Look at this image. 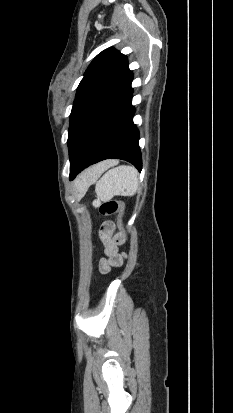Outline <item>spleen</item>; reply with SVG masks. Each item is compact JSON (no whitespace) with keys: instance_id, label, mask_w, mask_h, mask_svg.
Here are the masks:
<instances>
[{"instance_id":"1","label":"spleen","mask_w":233,"mask_h":413,"mask_svg":"<svg viewBox=\"0 0 233 413\" xmlns=\"http://www.w3.org/2000/svg\"><path fill=\"white\" fill-rule=\"evenodd\" d=\"M101 171L94 173L95 180ZM138 189V172L133 166L121 165L108 170L97 182L95 191L101 201L116 195L133 196Z\"/></svg>"}]
</instances>
